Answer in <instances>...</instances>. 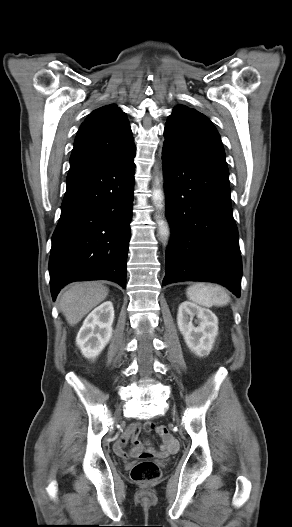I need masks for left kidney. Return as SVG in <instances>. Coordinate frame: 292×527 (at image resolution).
Instances as JSON below:
<instances>
[{
    "mask_svg": "<svg viewBox=\"0 0 292 527\" xmlns=\"http://www.w3.org/2000/svg\"><path fill=\"white\" fill-rule=\"evenodd\" d=\"M194 316L197 317V326L193 324ZM177 324L193 353L199 357L210 353L218 334V319L212 311L188 301L183 302L178 308Z\"/></svg>",
    "mask_w": 292,
    "mask_h": 527,
    "instance_id": "1",
    "label": "left kidney"
}]
</instances>
